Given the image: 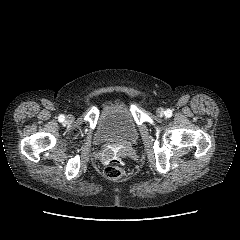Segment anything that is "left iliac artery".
<instances>
[{
  "mask_svg": "<svg viewBox=\"0 0 240 240\" xmlns=\"http://www.w3.org/2000/svg\"><path fill=\"white\" fill-rule=\"evenodd\" d=\"M165 116H166V117H171V116H172V111H171L170 109H167V110L165 111Z\"/></svg>",
  "mask_w": 240,
  "mask_h": 240,
  "instance_id": "1",
  "label": "left iliac artery"
}]
</instances>
